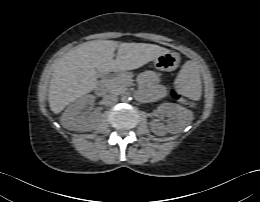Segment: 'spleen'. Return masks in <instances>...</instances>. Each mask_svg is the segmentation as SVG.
I'll use <instances>...</instances> for the list:
<instances>
[{
  "instance_id": "3e777b00",
  "label": "spleen",
  "mask_w": 260,
  "mask_h": 202,
  "mask_svg": "<svg viewBox=\"0 0 260 202\" xmlns=\"http://www.w3.org/2000/svg\"><path fill=\"white\" fill-rule=\"evenodd\" d=\"M179 92L191 99L198 100L201 96V80L199 73L191 62L183 65L178 74Z\"/></svg>"
}]
</instances>
